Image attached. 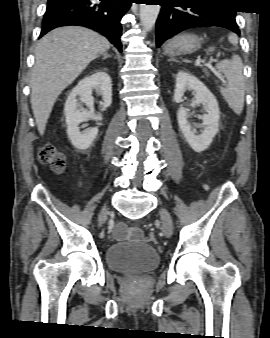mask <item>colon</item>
Returning a JSON list of instances; mask_svg holds the SVG:
<instances>
[{
	"label": "colon",
	"mask_w": 270,
	"mask_h": 338,
	"mask_svg": "<svg viewBox=\"0 0 270 338\" xmlns=\"http://www.w3.org/2000/svg\"><path fill=\"white\" fill-rule=\"evenodd\" d=\"M40 161L48 165L52 172L55 174H61L65 167V156L63 153L58 151L53 145H44L40 150ZM148 242L156 243L157 239L155 236H149Z\"/></svg>",
	"instance_id": "colon-1"
}]
</instances>
